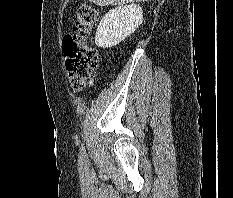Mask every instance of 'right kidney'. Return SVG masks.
<instances>
[{"instance_id": "1", "label": "right kidney", "mask_w": 233, "mask_h": 198, "mask_svg": "<svg viewBox=\"0 0 233 198\" xmlns=\"http://www.w3.org/2000/svg\"><path fill=\"white\" fill-rule=\"evenodd\" d=\"M143 21V11L139 5L119 6L109 10L101 19L95 43L101 48L116 46L130 36Z\"/></svg>"}]
</instances>
